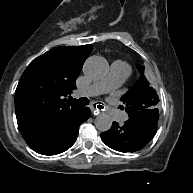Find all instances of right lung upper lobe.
<instances>
[{
    "mask_svg": "<svg viewBox=\"0 0 193 193\" xmlns=\"http://www.w3.org/2000/svg\"><path fill=\"white\" fill-rule=\"evenodd\" d=\"M92 45L57 47L34 59L24 71L16 92L17 123L26 143L36 145L56 139L81 114L84 107L65 98Z\"/></svg>",
    "mask_w": 193,
    "mask_h": 193,
    "instance_id": "obj_1",
    "label": "right lung upper lobe"
}]
</instances>
